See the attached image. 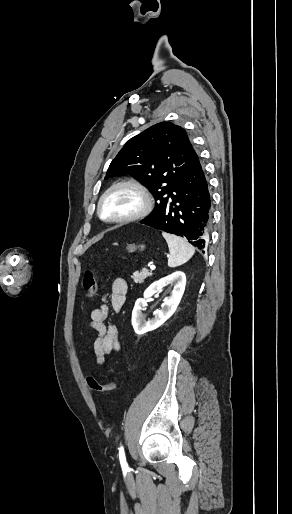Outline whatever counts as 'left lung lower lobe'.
<instances>
[{
    "instance_id": "0a47b994",
    "label": "left lung lower lobe",
    "mask_w": 292,
    "mask_h": 514,
    "mask_svg": "<svg viewBox=\"0 0 292 514\" xmlns=\"http://www.w3.org/2000/svg\"><path fill=\"white\" fill-rule=\"evenodd\" d=\"M211 196L200 158L193 149L190 164L172 193L159 203L152 218L140 223L184 237L203 249L211 225Z\"/></svg>"
}]
</instances>
